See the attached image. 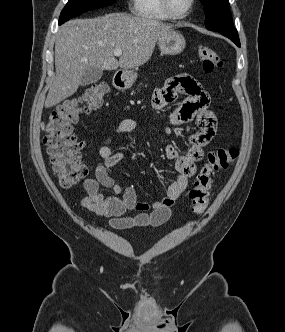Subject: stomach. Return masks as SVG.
<instances>
[{
	"label": "stomach",
	"mask_w": 285,
	"mask_h": 332,
	"mask_svg": "<svg viewBox=\"0 0 285 332\" xmlns=\"http://www.w3.org/2000/svg\"><path fill=\"white\" fill-rule=\"evenodd\" d=\"M160 51L163 54L176 55L183 51L186 40L182 34L172 31L161 37L158 41ZM137 79V73L132 70H125L121 75L124 88H130Z\"/></svg>",
	"instance_id": "obj_1"
}]
</instances>
